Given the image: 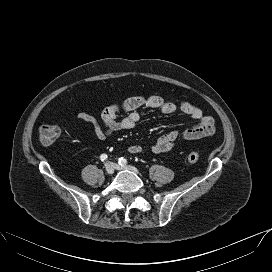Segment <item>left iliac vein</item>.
Returning a JSON list of instances; mask_svg holds the SVG:
<instances>
[{"mask_svg":"<svg viewBox=\"0 0 272 272\" xmlns=\"http://www.w3.org/2000/svg\"><path fill=\"white\" fill-rule=\"evenodd\" d=\"M110 165H112V167L116 170H127V171H131L135 174H139V171L137 168L133 167V166H130V165H119V164H116V163H112L110 162L109 163Z\"/></svg>","mask_w":272,"mask_h":272,"instance_id":"1","label":"left iliac vein"}]
</instances>
